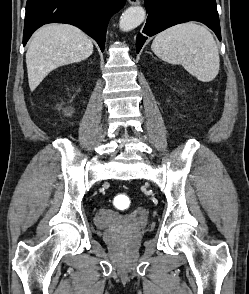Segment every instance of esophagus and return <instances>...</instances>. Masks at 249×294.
Masks as SVG:
<instances>
[{
	"label": "esophagus",
	"instance_id": "esophagus-1",
	"mask_svg": "<svg viewBox=\"0 0 249 294\" xmlns=\"http://www.w3.org/2000/svg\"><path fill=\"white\" fill-rule=\"evenodd\" d=\"M128 2H129L131 5H139V4H140V0H128Z\"/></svg>",
	"mask_w": 249,
	"mask_h": 294
}]
</instances>
